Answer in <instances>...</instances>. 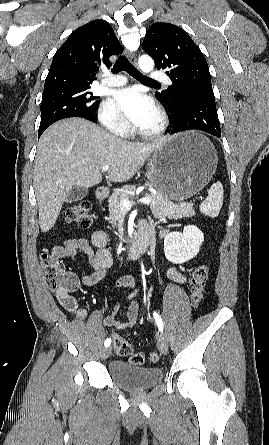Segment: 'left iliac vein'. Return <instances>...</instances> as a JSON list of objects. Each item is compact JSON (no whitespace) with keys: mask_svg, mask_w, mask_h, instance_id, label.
Instances as JSON below:
<instances>
[{"mask_svg":"<svg viewBox=\"0 0 269 445\" xmlns=\"http://www.w3.org/2000/svg\"><path fill=\"white\" fill-rule=\"evenodd\" d=\"M158 349L162 354H166L168 352V343L166 338L163 335L158 336L157 341Z\"/></svg>","mask_w":269,"mask_h":445,"instance_id":"1","label":"left iliac vein"}]
</instances>
